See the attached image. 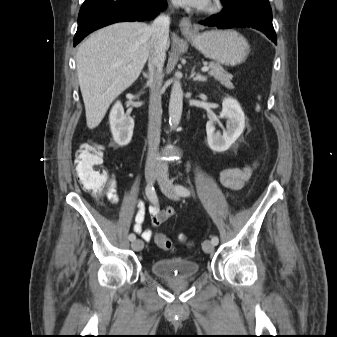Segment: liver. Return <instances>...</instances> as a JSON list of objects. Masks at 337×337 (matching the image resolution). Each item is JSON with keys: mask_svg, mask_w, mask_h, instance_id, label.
<instances>
[{"mask_svg": "<svg viewBox=\"0 0 337 337\" xmlns=\"http://www.w3.org/2000/svg\"><path fill=\"white\" fill-rule=\"evenodd\" d=\"M151 39L147 24L123 22L98 30L79 46L77 75L89 129L100 124L110 104L137 80Z\"/></svg>", "mask_w": 337, "mask_h": 337, "instance_id": "liver-1", "label": "liver"}]
</instances>
